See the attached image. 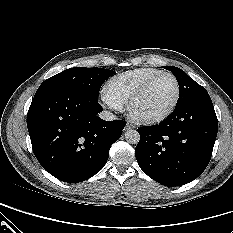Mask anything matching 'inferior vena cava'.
I'll list each match as a JSON object with an SVG mask.
<instances>
[{
    "mask_svg": "<svg viewBox=\"0 0 233 233\" xmlns=\"http://www.w3.org/2000/svg\"><path fill=\"white\" fill-rule=\"evenodd\" d=\"M99 117L103 120L112 121L116 119V116L109 111H102L99 113Z\"/></svg>",
    "mask_w": 233,
    "mask_h": 233,
    "instance_id": "inferior-vena-cava-1",
    "label": "inferior vena cava"
}]
</instances>
